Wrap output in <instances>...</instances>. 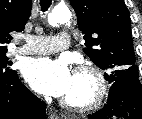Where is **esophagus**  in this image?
<instances>
[{
	"label": "esophagus",
	"instance_id": "1",
	"mask_svg": "<svg viewBox=\"0 0 142 119\" xmlns=\"http://www.w3.org/2000/svg\"><path fill=\"white\" fill-rule=\"evenodd\" d=\"M49 117L50 119H60V116L52 110L49 111Z\"/></svg>",
	"mask_w": 142,
	"mask_h": 119
}]
</instances>
